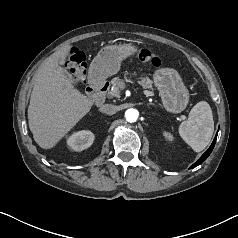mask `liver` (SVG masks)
Segmentation results:
<instances>
[{
  "instance_id": "6515ba94",
  "label": "liver",
  "mask_w": 238,
  "mask_h": 238,
  "mask_svg": "<svg viewBox=\"0 0 238 238\" xmlns=\"http://www.w3.org/2000/svg\"><path fill=\"white\" fill-rule=\"evenodd\" d=\"M71 46L50 55L37 70L28 107V124L35 142L50 149L91 109L94 101L74 88L59 66Z\"/></svg>"
}]
</instances>
